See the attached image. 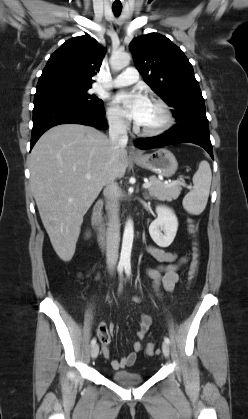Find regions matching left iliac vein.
Segmentation results:
<instances>
[{
  "label": "left iliac vein",
  "instance_id": "obj_1",
  "mask_svg": "<svg viewBox=\"0 0 248 419\" xmlns=\"http://www.w3.org/2000/svg\"><path fill=\"white\" fill-rule=\"evenodd\" d=\"M162 352H163V355L167 358V357H169V354H170V348H169V345L166 343V342H163L162 343Z\"/></svg>",
  "mask_w": 248,
  "mask_h": 419
}]
</instances>
